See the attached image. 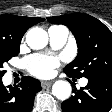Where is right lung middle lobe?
Masks as SVG:
<instances>
[{
    "label": "right lung middle lobe",
    "instance_id": "dd1d6c3e",
    "mask_svg": "<svg viewBox=\"0 0 112 112\" xmlns=\"http://www.w3.org/2000/svg\"><path fill=\"white\" fill-rule=\"evenodd\" d=\"M20 42L21 41H0V79H2L3 75L6 73V71L3 70V64L8 62L12 57L18 55Z\"/></svg>",
    "mask_w": 112,
    "mask_h": 112
}]
</instances>
